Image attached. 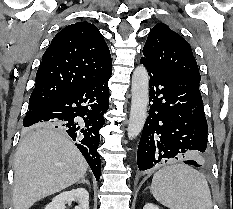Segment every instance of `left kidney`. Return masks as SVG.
<instances>
[{
	"label": "left kidney",
	"mask_w": 233,
	"mask_h": 209,
	"mask_svg": "<svg viewBox=\"0 0 233 209\" xmlns=\"http://www.w3.org/2000/svg\"><path fill=\"white\" fill-rule=\"evenodd\" d=\"M143 209H160V208L152 203H147L144 205Z\"/></svg>",
	"instance_id": "obj_1"
}]
</instances>
